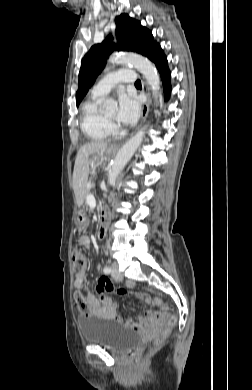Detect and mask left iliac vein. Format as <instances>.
Segmentation results:
<instances>
[{"label":"left iliac vein","mask_w":252,"mask_h":390,"mask_svg":"<svg viewBox=\"0 0 252 390\" xmlns=\"http://www.w3.org/2000/svg\"><path fill=\"white\" fill-rule=\"evenodd\" d=\"M111 276H112L114 279H117V280H122V278H123L122 274H121L120 271L118 270L117 265H115V264L112 266Z\"/></svg>","instance_id":"obj_1"}]
</instances>
